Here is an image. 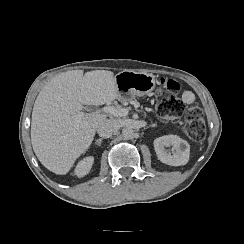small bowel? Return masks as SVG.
I'll use <instances>...</instances> for the list:
<instances>
[{"instance_id": "1", "label": "small bowel", "mask_w": 244, "mask_h": 244, "mask_svg": "<svg viewBox=\"0 0 244 244\" xmlns=\"http://www.w3.org/2000/svg\"><path fill=\"white\" fill-rule=\"evenodd\" d=\"M181 99L184 103L190 104L195 100V94L192 91L186 90L182 93Z\"/></svg>"}]
</instances>
